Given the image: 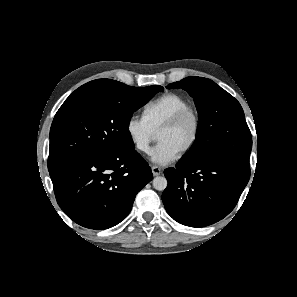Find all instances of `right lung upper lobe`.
<instances>
[{
  "label": "right lung upper lobe",
  "instance_id": "right-lung-upper-lobe-1",
  "mask_svg": "<svg viewBox=\"0 0 297 297\" xmlns=\"http://www.w3.org/2000/svg\"><path fill=\"white\" fill-rule=\"evenodd\" d=\"M100 80H103V79L93 80V81H90V82L82 85L81 87L76 89L68 98H74V97H77V96H80V95H83L86 93L96 91L101 85Z\"/></svg>",
  "mask_w": 297,
  "mask_h": 297
}]
</instances>
